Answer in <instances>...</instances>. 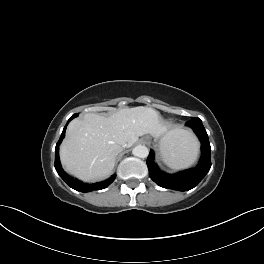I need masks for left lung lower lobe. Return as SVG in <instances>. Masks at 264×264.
Wrapping results in <instances>:
<instances>
[{
    "label": "left lung lower lobe",
    "mask_w": 264,
    "mask_h": 264,
    "mask_svg": "<svg viewBox=\"0 0 264 264\" xmlns=\"http://www.w3.org/2000/svg\"><path fill=\"white\" fill-rule=\"evenodd\" d=\"M191 127L201 141L202 155L199 164L192 169L178 172L176 174H167L161 171L154 162V152L150 150L147 158V166L150 178L159 186L178 191H187L199 184L211 167V147L207 132L199 118L186 123Z\"/></svg>",
    "instance_id": "0a47b994"
}]
</instances>
